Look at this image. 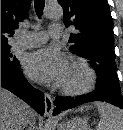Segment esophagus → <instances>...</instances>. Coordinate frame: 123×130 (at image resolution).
I'll use <instances>...</instances> for the list:
<instances>
[{
	"mask_svg": "<svg viewBox=\"0 0 123 130\" xmlns=\"http://www.w3.org/2000/svg\"><path fill=\"white\" fill-rule=\"evenodd\" d=\"M44 104H45V117L52 118L53 98L48 93H45L44 95Z\"/></svg>",
	"mask_w": 123,
	"mask_h": 130,
	"instance_id": "1",
	"label": "esophagus"
}]
</instances>
